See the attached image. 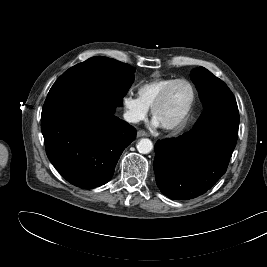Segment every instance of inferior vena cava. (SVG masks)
<instances>
[{
    "instance_id": "obj_1",
    "label": "inferior vena cava",
    "mask_w": 267,
    "mask_h": 267,
    "mask_svg": "<svg viewBox=\"0 0 267 267\" xmlns=\"http://www.w3.org/2000/svg\"><path fill=\"white\" fill-rule=\"evenodd\" d=\"M123 116H124L125 121H127L129 123L139 122L137 115L131 111H126Z\"/></svg>"
}]
</instances>
